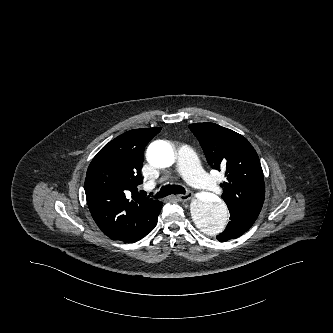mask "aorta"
<instances>
[{"instance_id":"762f6f07","label":"aorta","mask_w":333,"mask_h":333,"mask_svg":"<svg viewBox=\"0 0 333 333\" xmlns=\"http://www.w3.org/2000/svg\"><path fill=\"white\" fill-rule=\"evenodd\" d=\"M147 159L157 168L170 167L175 160L173 148L166 141H156L148 147ZM190 213L195 225L209 235L222 233L229 222L225 203L214 194L192 200Z\"/></svg>"}]
</instances>
